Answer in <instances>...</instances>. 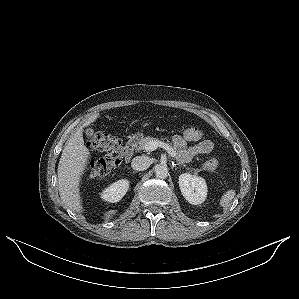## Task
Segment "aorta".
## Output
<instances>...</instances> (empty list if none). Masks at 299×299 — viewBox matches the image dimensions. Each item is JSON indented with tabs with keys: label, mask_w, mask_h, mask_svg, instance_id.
<instances>
[{
	"label": "aorta",
	"mask_w": 299,
	"mask_h": 299,
	"mask_svg": "<svg viewBox=\"0 0 299 299\" xmlns=\"http://www.w3.org/2000/svg\"><path fill=\"white\" fill-rule=\"evenodd\" d=\"M155 175L157 178L165 179L169 175V169L165 164H159L155 167Z\"/></svg>",
	"instance_id": "obj_1"
}]
</instances>
